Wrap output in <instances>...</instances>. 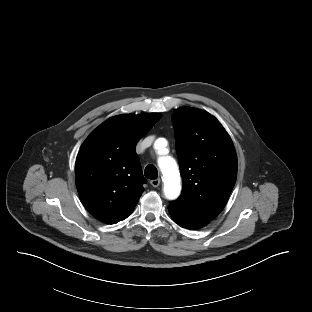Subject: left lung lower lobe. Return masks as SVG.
<instances>
[{"label":"left lung lower lobe","mask_w":312,"mask_h":312,"mask_svg":"<svg viewBox=\"0 0 312 312\" xmlns=\"http://www.w3.org/2000/svg\"><path fill=\"white\" fill-rule=\"evenodd\" d=\"M169 213L171 218L180 226L184 227V228H190V229H197V228H201L203 226H205L206 224L201 223V222H197L194 221L192 219L186 218L178 213H176L175 211L169 209Z\"/></svg>","instance_id":"1"}]
</instances>
